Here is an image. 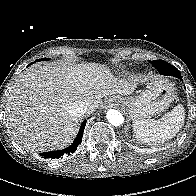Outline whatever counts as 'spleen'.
<instances>
[{
    "label": "spleen",
    "mask_w": 196,
    "mask_h": 196,
    "mask_svg": "<svg viewBox=\"0 0 196 196\" xmlns=\"http://www.w3.org/2000/svg\"><path fill=\"white\" fill-rule=\"evenodd\" d=\"M185 119L183 105L179 104L158 120L136 119L133 131L140 141L145 143H163L173 138L182 128Z\"/></svg>",
    "instance_id": "obj_1"
}]
</instances>
